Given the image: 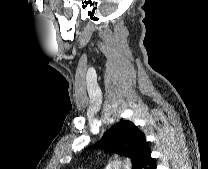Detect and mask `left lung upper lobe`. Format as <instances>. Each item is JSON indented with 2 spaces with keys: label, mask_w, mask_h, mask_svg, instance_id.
Here are the masks:
<instances>
[{
  "label": "left lung upper lobe",
  "mask_w": 208,
  "mask_h": 169,
  "mask_svg": "<svg viewBox=\"0 0 208 169\" xmlns=\"http://www.w3.org/2000/svg\"><path fill=\"white\" fill-rule=\"evenodd\" d=\"M90 148L102 149L132 159V168L137 169L144 152L149 149L145 135L131 121H120L107 130L100 141Z\"/></svg>",
  "instance_id": "obj_1"
}]
</instances>
